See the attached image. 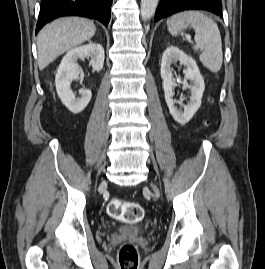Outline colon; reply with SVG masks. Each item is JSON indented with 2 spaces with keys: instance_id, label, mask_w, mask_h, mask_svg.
<instances>
[{
  "instance_id": "1",
  "label": "colon",
  "mask_w": 265,
  "mask_h": 269,
  "mask_svg": "<svg viewBox=\"0 0 265 269\" xmlns=\"http://www.w3.org/2000/svg\"><path fill=\"white\" fill-rule=\"evenodd\" d=\"M108 214L127 223L139 222L143 217V209L136 202L111 200L107 205ZM119 265L121 269H136L138 264V251L133 243H124L119 250Z\"/></svg>"
}]
</instances>
